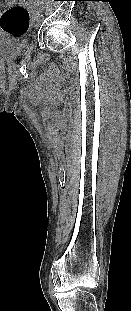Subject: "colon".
<instances>
[{
    "label": "colon",
    "instance_id": "1",
    "mask_svg": "<svg viewBox=\"0 0 131 311\" xmlns=\"http://www.w3.org/2000/svg\"><path fill=\"white\" fill-rule=\"evenodd\" d=\"M30 27L28 10L20 5L6 9L0 17L1 30L11 36L24 35Z\"/></svg>",
    "mask_w": 131,
    "mask_h": 311
}]
</instances>
